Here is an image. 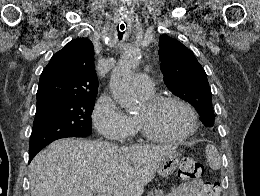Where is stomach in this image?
I'll return each mask as SVG.
<instances>
[{
  "label": "stomach",
  "instance_id": "0dacf381",
  "mask_svg": "<svg viewBox=\"0 0 260 196\" xmlns=\"http://www.w3.org/2000/svg\"><path fill=\"white\" fill-rule=\"evenodd\" d=\"M180 160V154L178 152H170V154H166L160 162L157 164V174L162 176V178H167V176H171L173 172H175L178 162Z\"/></svg>",
  "mask_w": 260,
  "mask_h": 196
}]
</instances>
